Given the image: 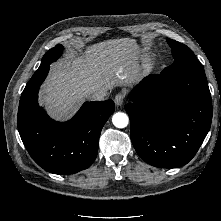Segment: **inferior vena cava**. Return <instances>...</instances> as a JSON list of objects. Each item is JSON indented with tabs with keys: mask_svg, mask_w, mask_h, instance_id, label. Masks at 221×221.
<instances>
[{
	"mask_svg": "<svg viewBox=\"0 0 221 221\" xmlns=\"http://www.w3.org/2000/svg\"><path fill=\"white\" fill-rule=\"evenodd\" d=\"M109 90L105 88H99L96 89L88 94V97H90L92 100L95 101H103L108 96Z\"/></svg>",
	"mask_w": 221,
	"mask_h": 221,
	"instance_id": "602c4592",
	"label": "inferior vena cava"
}]
</instances>
